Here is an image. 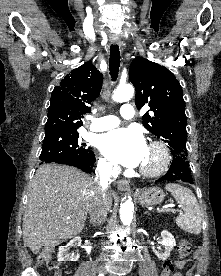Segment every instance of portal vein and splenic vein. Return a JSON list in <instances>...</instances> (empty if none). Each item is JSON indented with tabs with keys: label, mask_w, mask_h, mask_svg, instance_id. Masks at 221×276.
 I'll return each instance as SVG.
<instances>
[{
	"label": "portal vein and splenic vein",
	"mask_w": 221,
	"mask_h": 276,
	"mask_svg": "<svg viewBox=\"0 0 221 276\" xmlns=\"http://www.w3.org/2000/svg\"><path fill=\"white\" fill-rule=\"evenodd\" d=\"M158 212H172V213H176L178 212V210L174 209L172 205H168L162 209H158Z\"/></svg>",
	"instance_id": "1"
}]
</instances>
